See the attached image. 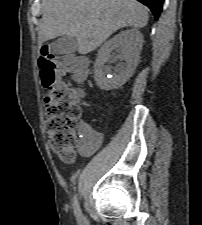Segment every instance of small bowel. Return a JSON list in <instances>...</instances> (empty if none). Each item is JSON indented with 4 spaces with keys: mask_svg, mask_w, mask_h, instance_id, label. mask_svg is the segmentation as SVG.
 <instances>
[{
    "mask_svg": "<svg viewBox=\"0 0 202 225\" xmlns=\"http://www.w3.org/2000/svg\"><path fill=\"white\" fill-rule=\"evenodd\" d=\"M81 128H89L91 130L89 134L85 135L87 144L79 147V152L81 155L89 156L104 145V135L97 131L89 121H82Z\"/></svg>",
    "mask_w": 202,
    "mask_h": 225,
    "instance_id": "1",
    "label": "small bowel"
}]
</instances>
